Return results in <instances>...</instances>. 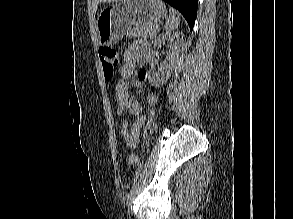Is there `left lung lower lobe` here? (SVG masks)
Returning <instances> with one entry per match:
<instances>
[{
	"instance_id": "left-lung-lower-lobe-1",
	"label": "left lung lower lobe",
	"mask_w": 293,
	"mask_h": 219,
	"mask_svg": "<svg viewBox=\"0 0 293 219\" xmlns=\"http://www.w3.org/2000/svg\"><path fill=\"white\" fill-rule=\"evenodd\" d=\"M172 7L176 8L185 17L190 30L192 31L196 15L198 0H164Z\"/></svg>"
}]
</instances>
